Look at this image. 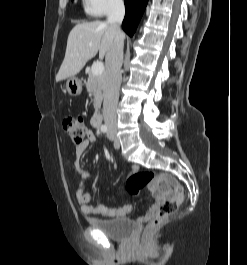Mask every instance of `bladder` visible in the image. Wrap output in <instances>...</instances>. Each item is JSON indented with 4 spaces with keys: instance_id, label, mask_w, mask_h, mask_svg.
Here are the masks:
<instances>
[{
    "instance_id": "bladder-1",
    "label": "bladder",
    "mask_w": 247,
    "mask_h": 265,
    "mask_svg": "<svg viewBox=\"0 0 247 265\" xmlns=\"http://www.w3.org/2000/svg\"><path fill=\"white\" fill-rule=\"evenodd\" d=\"M90 227L100 231L110 239L125 241L135 230V224L127 218L116 219H88Z\"/></svg>"
}]
</instances>
